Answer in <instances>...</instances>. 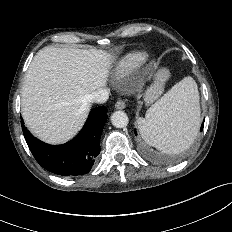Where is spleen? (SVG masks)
<instances>
[{
    "label": "spleen",
    "instance_id": "3e777b00",
    "mask_svg": "<svg viewBox=\"0 0 232 232\" xmlns=\"http://www.w3.org/2000/svg\"><path fill=\"white\" fill-rule=\"evenodd\" d=\"M200 125L197 84L185 77L138 119L142 138L167 154L181 153L193 143Z\"/></svg>",
    "mask_w": 232,
    "mask_h": 232
}]
</instances>
